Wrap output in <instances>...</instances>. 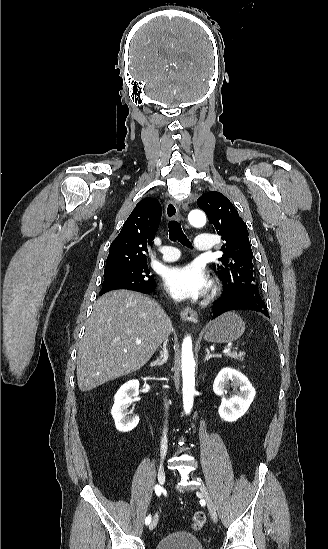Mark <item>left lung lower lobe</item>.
<instances>
[{"label": "left lung lower lobe", "mask_w": 328, "mask_h": 549, "mask_svg": "<svg viewBox=\"0 0 328 549\" xmlns=\"http://www.w3.org/2000/svg\"><path fill=\"white\" fill-rule=\"evenodd\" d=\"M231 310H253L261 312L269 317L267 307L263 300L252 299L243 295L222 294L220 299L213 304V318Z\"/></svg>", "instance_id": "obj_1"}]
</instances>
